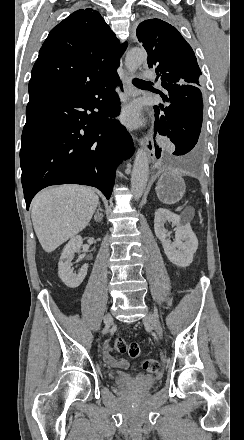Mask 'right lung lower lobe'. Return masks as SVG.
<instances>
[{"label":"right lung lower lobe","mask_w":244,"mask_h":440,"mask_svg":"<svg viewBox=\"0 0 244 440\" xmlns=\"http://www.w3.org/2000/svg\"><path fill=\"white\" fill-rule=\"evenodd\" d=\"M116 86L122 83L114 72L74 90L30 96L20 150L27 209L37 192L56 184L94 186L110 198L117 164L134 152L126 129L106 124L120 111Z\"/></svg>","instance_id":"98d812e1"}]
</instances>
